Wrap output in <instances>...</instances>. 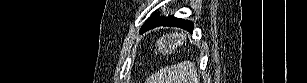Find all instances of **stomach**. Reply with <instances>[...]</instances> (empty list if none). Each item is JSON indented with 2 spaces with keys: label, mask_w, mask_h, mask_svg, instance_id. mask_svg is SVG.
I'll return each mask as SVG.
<instances>
[{
  "label": "stomach",
  "mask_w": 307,
  "mask_h": 83,
  "mask_svg": "<svg viewBox=\"0 0 307 83\" xmlns=\"http://www.w3.org/2000/svg\"><path fill=\"white\" fill-rule=\"evenodd\" d=\"M186 37L182 34H170L159 38L156 42V52L170 54L175 51L178 46L183 45Z\"/></svg>",
  "instance_id": "1"
}]
</instances>
